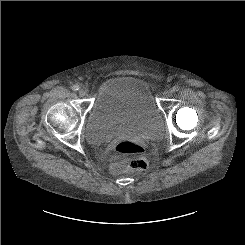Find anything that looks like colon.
<instances>
[{
    "label": "colon",
    "mask_w": 245,
    "mask_h": 245,
    "mask_svg": "<svg viewBox=\"0 0 245 245\" xmlns=\"http://www.w3.org/2000/svg\"><path fill=\"white\" fill-rule=\"evenodd\" d=\"M114 150L119 154L131 155L132 158L127 162L113 164L111 166L112 173L118 174L126 170L141 171L147 168L146 149L140 143L128 138H121L114 143Z\"/></svg>",
    "instance_id": "colon-1"
}]
</instances>
